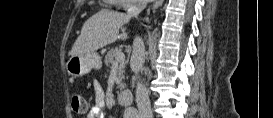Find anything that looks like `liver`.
<instances>
[{
  "instance_id": "1",
  "label": "liver",
  "mask_w": 273,
  "mask_h": 118,
  "mask_svg": "<svg viewBox=\"0 0 273 118\" xmlns=\"http://www.w3.org/2000/svg\"><path fill=\"white\" fill-rule=\"evenodd\" d=\"M128 14L103 9L92 15L83 25L74 42L71 55H84L95 52L117 39L128 38L126 33L119 35V29L130 21Z\"/></svg>"
}]
</instances>
